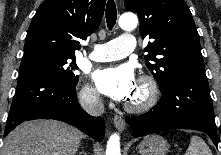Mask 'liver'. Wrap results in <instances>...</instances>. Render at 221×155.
I'll return each instance as SVG.
<instances>
[{
    "instance_id": "obj_1",
    "label": "liver",
    "mask_w": 221,
    "mask_h": 155,
    "mask_svg": "<svg viewBox=\"0 0 221 155\" xmlns=\"http://www.w3.org/2000/svg\"><path fill=\"white\" fill-rule=\"evenodd\" d=\"M84 134L56 120L17 126L4 140L2 155H75Z\"/></svg>"
}]
</instances>
